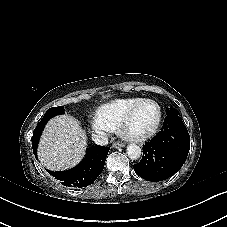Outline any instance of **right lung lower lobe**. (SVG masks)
Returning <instances> with one entry per match:
<instances>
[{
  "instance_id": "1",
  "label": "right lung lower lobe",
  "mask_w": 227,
  "mask_h": 227,
  "mask_svg": "<svg viewBox=\"0 0 227 227\" xmlns=\"http://www.w3.org/2000/svg\"><path fill=\"white\" fill-rule=\"evenodd\" d=\"M45 124L46 122H40L33 131L32 147L36 159L38 141ZM109 149V147L99 145L89 147L87 148L85 158L73 169L59 172L47 170V172L64 186L74 188L86 187L92 184L101 174Z\"/></svg>"
}]
</instances>
